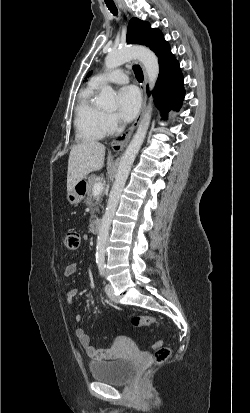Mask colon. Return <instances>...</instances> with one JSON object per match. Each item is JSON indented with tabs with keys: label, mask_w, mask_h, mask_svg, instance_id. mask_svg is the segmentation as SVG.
I'll list each match as a JSON object with an SVG mask.
<instances>
[{
	"label": "colon",
	"mask_w": 250,
	"mask_h": 413,
	"mask_svg": "<svg viewBox=\"0 0 250 413\" xmlns=\"http://www.w3.org/2000/svg\"><path fill=\"white\" fill-rule=\"evenodd\" d=\"M80 236L77 232H68L65 235L64 246L67 251L73 252L80 247ZM157 322L154 316L137 315L132 318V324L135 327H147ZM152 348L155 350V363L162 364L166 362L172 354L171 348L165 346L162 341H156Z\"/></svg>",
	"instance_id": "1"
}]
</instances>
